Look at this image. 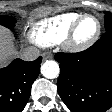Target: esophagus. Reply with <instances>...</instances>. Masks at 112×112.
<instances>
[{
	"label": "esophagus",
	"mask_w": 112,
	"mask_h": 112,
	"mask_svg": "<svg viewBox=\"0 0 112 112\" xmlns=\"http://www.w3.org/2000/svg\"><path fill=\"white\" fill-rule=\"evenodd\" d=\"M43 57H44V59H51L53 56H52V54L45 53V54H43Z\"/></svg>",
	"instance_id": "esophagus-1"
}]
</instances>
